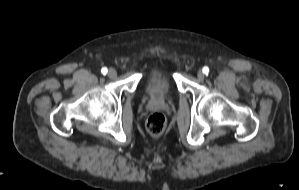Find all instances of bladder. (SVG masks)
I'll return each instance as SVG.
<instances>
[{"label":"bladder","mask_w":299,"mask_h":190,"mask_svg":"<svg viewBox=\"0 0 299 190\" xmlns=\"http://www.w3.org/2000/svg\"><path fill=\"white\" fill-rule=\"evenodd\" d=\"M144 92L153 98H159L169 92L175 83L170 69L161 63H154L141 78Z\"/></svg>","instance_id":"31cf9c89"}]
</instances>
